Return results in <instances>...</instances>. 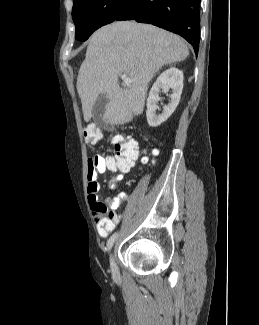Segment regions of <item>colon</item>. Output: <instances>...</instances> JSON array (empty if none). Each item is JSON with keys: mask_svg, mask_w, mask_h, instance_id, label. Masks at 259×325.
Masks as SVG:
<instances>
[{"mask_svg": "<svg viewBox=\"0 0 259 325\" xmlns=\"http://www.w3.org/2000/svg\"><path fill=\"white\" fill-rule=\"evenodd\" d=\"M83 133L85 139L92 143H96L101 139V132L94 125H88ZM112 144L116 150V156L125 164L139 155V148L132 139L116 136L113 138ZM147 161L146 157L143 158V162ZM89 162L92 164L91 159H89Z\"/></svg>", "mask_w": 259, "mask_h": 325, "instance_id": "1", "label": "colon"}]
</instances>
